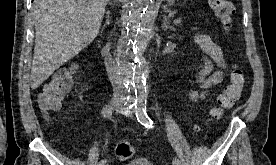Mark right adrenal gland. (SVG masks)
Returning <instances> with one entry per match:
<instances>
[{"mask_svg":"<svg viewBox=\"0 0 276 165\" xmlns=\"http://www.w3.org/2000/svg\"><path fill=\"white\" fill-rule=\"evenodd\" d=\"M109 24H110V11H107L106 12V21H105V24L102 27V30Z\"/></svg>","mask_w":276,"mask_h":165,"instance_id":"obj_1","label":"right adrenal gland"}]
</instances>
